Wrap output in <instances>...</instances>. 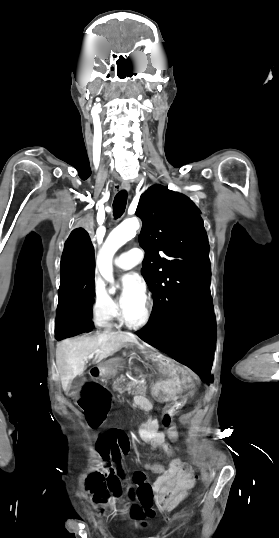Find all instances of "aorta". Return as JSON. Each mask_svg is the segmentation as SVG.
Instances as JSON below:
<instances>
[{"label": "aorta", "mask_w": 279, "mask_h": 538, "mask_svg": "<svg viewBox=\"0 0 279 538\" xmlns=\"http://www.w3.org/2000/svg\"><path fill=\"white\" fill-rule=\"evenodd\" d=\"M137 218H131L119 224L107 237L98 257V268L105 280L112 284L110 293L116 290L113 278L112 258L116 251L126 242L131 240L139 229Z\"/></svg>", "instance_id": "762f6f07"}]
</instances>
